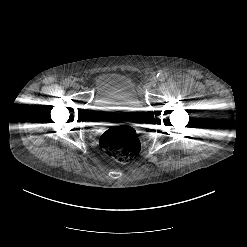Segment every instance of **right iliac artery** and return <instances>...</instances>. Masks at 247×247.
I'll use <instances>...</instances> for the list:
<instances>
[{"label": "right iliac artery", "instance_id": "obj_1", "mask_svg": "<svg viewBox=\"0 0 247 247\" xmlns=\"http://www.w3.org/2000/svg\"><path fill=\"white\" fill-rule=\"evenodd\" d=\"M63 84L65 87H71L73 82L70 79H66Z\"/></svg>", "mask_w": 247, "mask_h": 247}]
</instances>
